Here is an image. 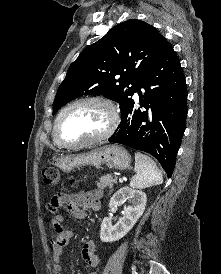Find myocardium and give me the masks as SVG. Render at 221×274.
Returning <instances> with one entry per match:
<instances>
[{
  "label": "myocardium",
  "instance_id": "obj_1",
  "mask_svg": "<svg viewBox=\"0 0 221 274\" xmlns=\"http://www.w3.org/2000/svg\"><path fill=\"white\" fill-rule=\"evenodd\" d=\"M83 103H96L104 106L107 109L109 114V124L107 128L98 136H95L85 141L76 142V143L65 142L61 139L59 135L60 121L63 115L69 109ZM119 122H120V114H119L118 108L111 100L101 96H86V97L78 98L76 100L71 101L59 112L54 123L53 137L56 143L61 147L68 148V149H78V148L93 145L108 139L117 129Z\"/></svg>",
  "mask_w": 221,
  "mask_h": 274
}]
</instances>
